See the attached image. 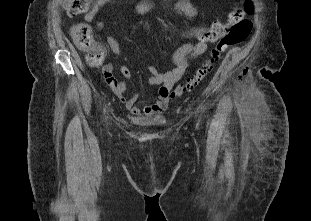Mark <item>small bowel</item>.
Returning a JSON list of instances; mask_svg holds the SVG:
<instances>
[{
  "mask_svg": "<svg viewBox=\"0 0 311 221\" xmlns=\"http://www.w3.org/2000/svg\"><path fill=\"white\" fill-rule=\"evenodd\" d=\"M111 0H96L92 7L85 13L84 19L87 22H92L96 18L100 10ZM153 9V4L150 1H144L137 6V11L141 15H147ZM175 9L185 15L186 17H194L197 15V8L189 0H179L175 6ZM96 27L98 30L105 29V23L102 21L97 22ZM202 27L198 26L189 32V36L198 37L202 31ZM107 44L110 50L116 55L121 56L122 51L119 42L111 35L106 37ZM98 49L105 57V48L102 45L98 46ZM207 50V44L203 41H198L196 43H186L179 47L173 56L174 68L169 71L160 72L156 66L149 65L148 71L150 76L148 78V83L150 85H159L158 97L157 99L146 105L144 108H140L137 105V94H133L131 97L127 98L125 96L126 86L123 81H119L118 85L112 90L116 96L126 105L130 113L140 119L145 118H156L159 116L166 108L169 102L170 91L173 85L182 77L186 69L189 66L190 60L195 59ZM122 76L129 79L132 75L131 70L128 66L122 65L120 68Z\"/></svg>",
  "mask_w": 311,
  "mask_h": 221,
  "instance_id": "obj_1",
  "label": "small bowel"
}]
</instances>
